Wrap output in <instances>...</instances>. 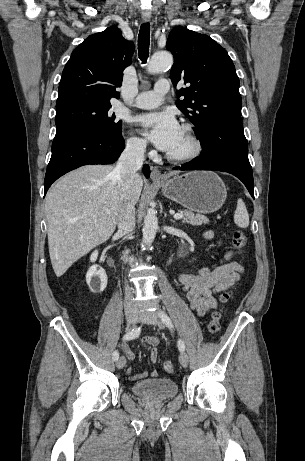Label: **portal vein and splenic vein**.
Here are the masks:
<instances>
[{
	"instance_id": "1",
	"label": "portal vein and splenic vein",
	"mask_w": 305,
	"mask_h": 461,
	"mask_svg": "<svg viewBox=\"0 0 305 461\" xmlns=\"http://www.w3.org/2000/svg\"><path fill=\"white\" fill-rule=\"evenodd\" d=\"M175 219H182L183 218V215L181 213H176L174 214L173 216Z\"/></svg>"
}]
</instances>
